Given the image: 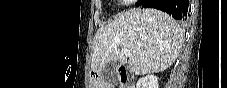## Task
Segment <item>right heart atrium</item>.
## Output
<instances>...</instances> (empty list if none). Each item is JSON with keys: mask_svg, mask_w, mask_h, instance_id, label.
I'll use <instances>...</instances> for the list:
<instances>
[{"mask_svg": "<svg viewBox=\"0 0 227 88\" xmlns=\"http://www.w3.org/2000/svg\"><path fill=\"white\" fill-rule=\"evenodd\" d=\"M123 2L126 4H133L134 1L133 0H124Z\"/></svg>", "mask_w": 227, "mask_h": 88, "instance_id": "obj_1", "label": "right heart atrium"}]
</instances>
